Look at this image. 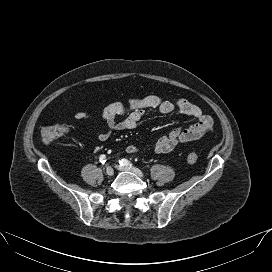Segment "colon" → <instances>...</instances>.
<instances>
[{"label": "colon", "mask_w": 272, "mask_h": 272, "mask_svg": "<svg viewBox=\"0 0 272 272\" xmlns=\"http://www.w3.org/2000/svg\"><path fill=\"white\" fill-rule=\"evenodd\" d=\"M68 133V127L61 123H52L42 127L40 137L43 143L49 144L57 139L64 137ZM189 164H194L198 160L196 153H189L186 157Z\"/></svg>", "instance_id": "colon-1"}]
</instances>
